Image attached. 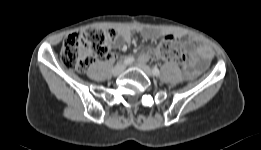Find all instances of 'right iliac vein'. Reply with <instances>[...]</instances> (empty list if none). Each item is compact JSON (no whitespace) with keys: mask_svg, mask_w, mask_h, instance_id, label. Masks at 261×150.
<instances>
[{"mask_svg":"<svg viewBox=\"0 0 261 150\" xmlns=\"http://www.w3.org/2000/svg\"><path fill=\"white\" fill-rule=\"evenodd\" d=\"M124 69H125L124 64H118L113 68L112 73L114 76H119L124 71Z\"/></svg>","mask_w":261,"mask_h":150,"instance_id":"obj_1","label":"right iliac vein"}]
</instances>
